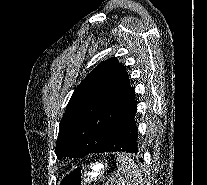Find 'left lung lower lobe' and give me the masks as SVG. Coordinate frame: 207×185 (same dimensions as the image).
I'll return each mask as SVG.
<instances>
[{
	"instance_id": "0a47b994",
	"label": "left lung lower lobe",
	"mask_w": 207,
	"mask_h": 185,
	"mask_svg": "<svg viewBox=\"0 0 207 185\" xmlns=\"http://www.w3.org/2000/svg\"><path fill=\"white\" fill-rule=\"evenodd\" d=\"M136 104L121 118L107 138L103 152H129L137 154L138 129L135 125Z\"/></svg>"
}]
</instances>
